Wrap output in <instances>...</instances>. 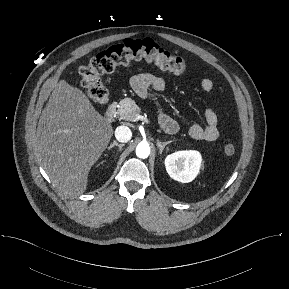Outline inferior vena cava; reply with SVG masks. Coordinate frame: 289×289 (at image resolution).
<instances>
[{
	"instance_id": "602c4592",
	"label": "inferior vena cava",
	"mask_w": 289,
	"mask_h": 289,
	"mask_svg": "<svg viewBox=\"0 0 289 289\" xmlns=\"http://www.w3.org/2000/svg\"><path fill=\"white\" fill-rule=\"evenodd\" d=\"M115 137L119 142H128L132 137V132L127 126H118L115 130Z\"/></svg>"
}]
</instances>
